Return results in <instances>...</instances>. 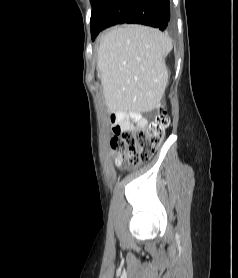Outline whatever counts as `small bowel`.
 <instances>
[{"instance_id":"1","label":"small bowel","mask_w":238,"mask_h":278,"mask_svg":"<svg viewBox=\"0 0 238 278\" xmlns=\"http://www.w3.org/2000/svg\"><path fill=\"white\" fill-rule=\"evenodd\" d=\"M110 121L113 126L114 133L122 132L125 130H134L140 128H146L148 121L143 115L138 112H124L117 111L110 116Z\"/></svg>"}]
</instances>
